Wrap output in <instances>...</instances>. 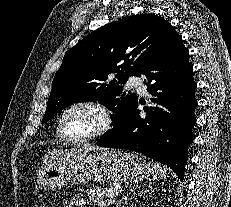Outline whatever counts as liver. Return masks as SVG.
Masks as SVG:
<instances>
[{
	"mask_svg": "<svg viewBox=\"0 0 231 207\" xmlns=\"http://www.w3.org/2000/svg\"><path fill=\"white\" fill-rule=\"evenodd\" d=\"M73 150H86V151H99V150H106L104 148H100L97 146H84L83 148L80 149H73ZM73 150H68L65 152L73 151ZM64 151H53L52 153H49L48 155L45 156L43 162L45 164L50 163L53 161L56 157L60 156L61 154L65 153Z\"/></svg>",
	"mask_w": 231,
	"mask_h": 207,
	"instance_id": "liver-1",
	"label": "liver"
}]
</instances>
